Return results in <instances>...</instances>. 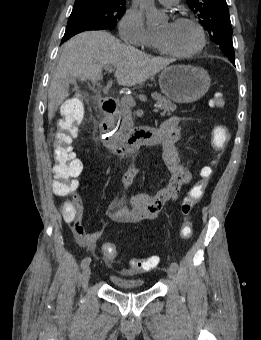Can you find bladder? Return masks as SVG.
I'll use <instances>...</instances> for the list:
<instances>
[{
	"label": "bladder",
	"instance_id": "bladder-1",
	"mask_svg": "<svg viewBox=\"0 0 261 340\" xmlns=\"http://www.w3.org/2000/svg\"><path fill=\"white\" fill-rule=\"evenodd\" d=\"M112 283L121 290H142L145 288V284L140 278H126L118 275H112L110 277Z\"/></svg>",
	"mask_w": 261,
	"mask_h": 340
}]
</instances>
